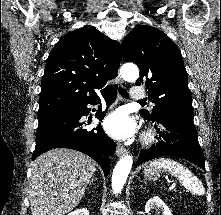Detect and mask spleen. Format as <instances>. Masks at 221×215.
<instances>
[{
    "label": "spleen",
    "mask_w": 221,
    "mask_h": 215,
    "mask_svg": "<svg viewBox=\"0 0 221 215\" xmlns=\"http://www.w3.org/2000/svg\"><path fill=\"white\" fill-rule=\"evenodd\" d=\"M151 168H163L176 176L182 185L193 194L204 195L205 189L200 180L186 167L170 158H158L150 163Z\"/></svg>",
    "instance_id": "spleen-1"
}]
</instances>
